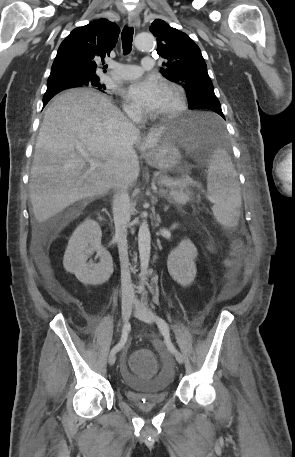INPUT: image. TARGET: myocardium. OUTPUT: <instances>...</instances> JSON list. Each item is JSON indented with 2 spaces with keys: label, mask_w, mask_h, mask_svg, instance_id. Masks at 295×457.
Masks as SVG:
<instances>
[{
  "label": "myocardium",
  "mask_w": 295,
  "mask_h": 457,
  "mask_svg": "<svg viewBox=\"0 0 295 457\" xmlns=\"http://www.w3.org/2000/svg\"><path fill=\"white\" fill-rule=\"evenodd\" d=\"M163 87L170 90L175 96V104L169 110L152 115L154 119H170L182 113L187 106L184 89L175 83L164 82Z\"/></svg>",
  "instance_id": "f54148a6"
}]
</instances>
